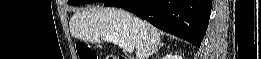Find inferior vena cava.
Here are the masks:
<instances>
[{
  "label": "inferior vena cava",
  "instance_id": "inferior-vena-cava-1",
  "mask_svg": "<svg viewBox=\"0 0 261 59\" xmlns=\"http://www.w3.org/2000/svg\"><path fill=\"white\" fill-rule=\"evenodd\" d=\"M133 27H136L143 33V22L140 19L134 18Z\"/></svg>",
  "mask_w": 261,
  "mask_h": 59
}]
</instances>
